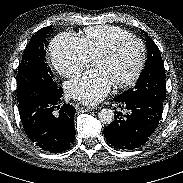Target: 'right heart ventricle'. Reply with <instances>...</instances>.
I'll return each instance as SVG.
<instances>
[{
	"label": "right heart ventricle",
	"instance_id": "obj_1",
	"mask_svg": "<svg viewBox=\"0 0 183 183\" xmlns=\"http://www.w3.org/2000/svg\"><path fill=\"white\" fill-rule=\"evenodd\" d=\"M132 36L128 31L116 26H96L84 30L79 38L88 58H94L118 39Z\"/></svg>",
	"mask_w": 183,
	"mask_h": 183
}]
</instances>
